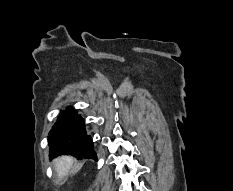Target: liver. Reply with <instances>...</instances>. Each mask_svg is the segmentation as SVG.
Returning <instances> with one entry per match:
<instances>
[{
	"label": "liver",
	"instance_id": "liver-1",
	"mask_svg": "<svg viewBox=\"0 0 233 191\" xmlns=\"http://www.w3.org/2000/svg\"><path fill=\"white\" fill-rule=\"evenodd\" d=\"M53 164L55 171L57 172L58 179H62L69 173L73 165V158L70 156H61L54 160Z\"/></svg>",
	"mask_w": 233,
	"mask_h": 191
}]
</instances>
